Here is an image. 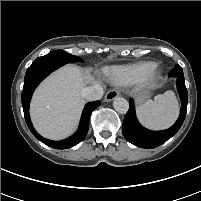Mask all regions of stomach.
<instances>
[{
    "instance_id": "1",
    "label": "stomach",
    "mask_w": 201,
    "mask_h": 201,
    "mask_svg": "<svg viewBox=\"0 0 201 201\" xmlns=\"http://www.w3.org/2000/svg\"><path fill=\"white\" fill-rule=\"evenodd\" d=\"M148 95H149V92L147 90H143L136 94V99L139 103H142L145 101Z\"/></svg>"
}]
</instances>
